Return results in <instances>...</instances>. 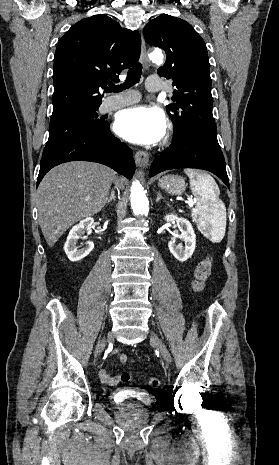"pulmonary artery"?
Here are the masks:
<instances>
[{
  "mask_svg": "<svg viewBox=\"0 0 279 465\" xmlns=\"http://www.w3.org/2000/svg\"><path fill=\"white\" fill-rule=\"evenodd\" d=\"M146 88L150 92L162 90L161 81L157 76H150L146 82ZM140 95L136 91H127L123 94L106 99L101 105L102 112H110L121 107L131 105L139 101Z\"/></svg>",
  "mask_w": 279,
  "mask_h": 465,
  "instance_id": "1",
  "label": "pulmonary artery"
}]
</instances>
